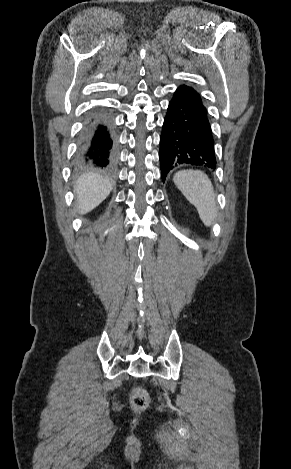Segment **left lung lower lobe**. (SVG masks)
<instances>
[{"instance_id": "obj_1", "label": "left lung lower lobe", "mask_w": 291, "mask_h": 469, "mask_svg": "<svg viewBox=\"0 0 291 469\" xmlns=\"http://www.w3.org/2000/svg\"><path fill=\"white\" fill-rule=\"evenodd\" d=\"M159 158L163 182L176 166L216 168L208 114L200 95L192 87L179 86L169 102L160 137Z\"/></svg>"}]
</instances>
